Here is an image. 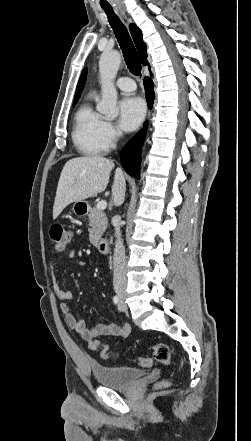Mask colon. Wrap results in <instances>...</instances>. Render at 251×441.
<instances>
[{
	"label": "colon",
	"mask_w": 251,
	"mask_h": 441,
	"mask_svg": "<svg viewBox=\"0 0 251 441\" xmlns=\"http://www.w3.org/2000/svg\"><path fill=\"white\" fill-rule=\"evenodd\" d=\"M72 232L63 225H54L50 229V240L52 245L57 251H62L66 248L70 240L72 239ZM89 348L92 351H99L101 357L108 359L112 356L111 351L104 346L100 341L93 340L89 344ZM153 358L164 365L170 366L173 363L170 350L165 344H155L152 346ZM136 362L143 366L149 367L152 365V360L150 358H138ZM170 385V381L163 380L157 383V388H165Z\"/></svg>",
	"instance_id": "1"
}]
</instances>
